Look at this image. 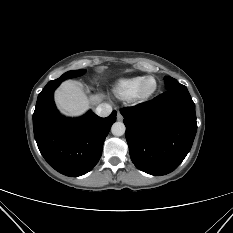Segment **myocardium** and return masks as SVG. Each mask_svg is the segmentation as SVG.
<instances>
[{
    "label": "myocardium",
    "mask_w": 233,
    "mask_h": 233,
    "mask_svg": "<svg viewBox=\"0 0 233 233\" xmlns=\"http://www.w3.org/2000/svg\"><path fill=\"white\" fill-rule=\"evenodd\" d=\"M150 80H152L154 82V87L152 90L146 92L145 85ZM157 90H158L157 80L152 76H147V77L145 76V78L143 79V81L139 85V88H138V90L135 93L133 98L137 103H144V102L148 101L157 92Z\"/></svg>",
    "instance_id": "1"
}]
</instances>
